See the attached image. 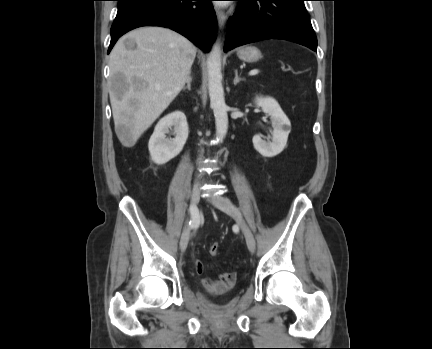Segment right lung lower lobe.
Returning <instances> with one entry per match:
<instances>
[{"instance_id": "obj_1", "label": "right lung lower lobe", "mask_w": 432, "mask_h": 349, "mask_svg": "<svg viewBox=\"0 0 432 349\" xmlns=\"http://www.w3.org/2000/svg\"><path fill=\"white\" fill-rule=\"evenodd\" d=\"M108 53L126 32L141 26L170 28L208 52L217 31L211 0H117ZM197 1V2H193Z\"/></svg>"}]
</instances>
